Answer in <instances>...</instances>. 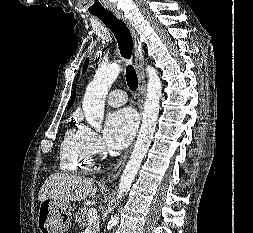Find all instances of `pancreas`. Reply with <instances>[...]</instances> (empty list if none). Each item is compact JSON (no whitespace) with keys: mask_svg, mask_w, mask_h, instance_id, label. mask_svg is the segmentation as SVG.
I'll return each instance as SVG.
<instances>
[{"mask_svg":"<svg viewBox=\"0 0 253 233\" xmlns=\"http://www.w3.org/2000/svg\"><path fill=\"white\" fill-rule=\"evenodd\" d=\"M88 208L82 207L76 214L75 219L80 229L90 225V233H99V221L96 219L92 224H88Z\"/></svg>","mask_w":253,"mask_h":233,"instance_id":"cf45deb5","label":"pancreas"}]
</instances>
